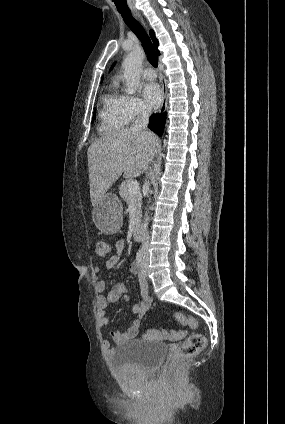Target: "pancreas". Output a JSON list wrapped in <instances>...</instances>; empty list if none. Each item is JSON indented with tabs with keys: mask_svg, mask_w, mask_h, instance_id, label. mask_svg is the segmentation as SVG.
<instances>
[{
	"mask_svg": "<svg viewBox=\"0 0 285 424\" xmlns=\"http://www.w3.org/2000/svg\"><path fill=\"white\" fill-rule=\"evenodd\" d=\"M128 184L129 182H123L119 187V195L121 198L127 203L130 204L131 201L135 205V215L138 218L141 214V206H142V195L141 192L138 191L135 194L130 195L128 192Z\"/></svg>",
	"mask_w": 285,
	"mask_h": 424,
	"instance_id": "obj_1",
	"label": "pancreas"
}]
</instances>
